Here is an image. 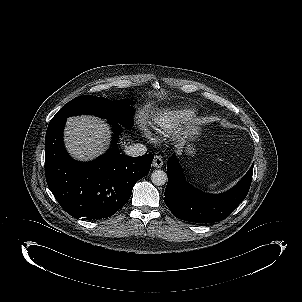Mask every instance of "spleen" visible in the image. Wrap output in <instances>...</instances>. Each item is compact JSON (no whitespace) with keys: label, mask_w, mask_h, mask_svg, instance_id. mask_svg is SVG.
I'll use <instances>...</instances> for the list:
<instances>
[{"label":"spleen","mask_w":302,"mask_h":302,"mask_svg":"<svg viewBox=\"0 0 302 302\" xmlns=\"http://www.w3.org/2000/svg\"><path fill=\"white\" fill-rule=\"evenodd\" d=\"M218 184H220V182H218L217 184H211V185L209 186V188H210V189H214Z\"/></svg>","instance_id":"obj_1"}]
</instances>
